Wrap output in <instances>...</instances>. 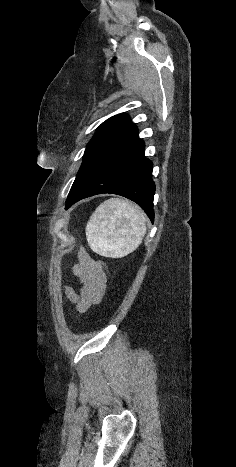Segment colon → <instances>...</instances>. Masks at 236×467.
<instances>
[{"mask_svg": "<svg viewBox=\"0 0 236 467\" xmlns=\"http://www.w3.org/2000/svg\"><path fill=\"white\" fill-rule=\"evenodd\" d=\"M98 263L101 265V267L103 268V270L105 271L106 274L109 273V269H108V266L105 264L104 261L102 260H98Z\"/></svg>", "mask_w": 236, "mask_h": 467, "instance_id": "1", "label": "colon"}]
</instances>
